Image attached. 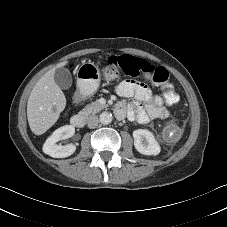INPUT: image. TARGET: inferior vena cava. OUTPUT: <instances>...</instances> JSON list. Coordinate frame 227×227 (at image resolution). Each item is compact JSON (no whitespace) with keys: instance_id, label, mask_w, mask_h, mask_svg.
Listing matches in <instances>:
<instances>
[{"instance_id":"1","label":"inferior vena cava","mask_w":227,"mask_h":227,"mask_svg":"<svg viewBox=\"0 0 227 227\" xmlns=\"http://www.w3.org/2000/svg\"><path fill=\"white\" fill-rule=\"evenodd\" d=\"M99 119L96 115L90 116L87 120V126L89 128H96L98 126Z\"/></svg>"}]
</instances>
